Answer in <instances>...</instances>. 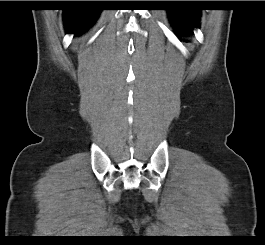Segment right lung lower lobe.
I'll return each instance as SVG.
<instances>
[{
  "label": "right lung lower lobe",
  "mask_w": 265,
  "mask_h": 245,
  "mask_svg": "<svg viewBox=\"0 0 265 245\" xmlns=\"http://www.w3.org/2000/svg\"><path fill=\"white\" fill-rule=\"evenodd\" d=\"M99 12V9L90 6L64 10L63 17L66 31L74 33V35L83 32L93 24Z\"/></svg>",
  "instance_id": "right-lung-lower-lobe-1"
}]
</instances>
